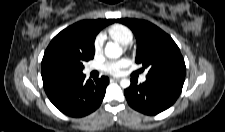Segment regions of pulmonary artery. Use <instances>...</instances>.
<instances>
[{
  "mask_svg": "<svg viewBox=\"0 0 225 132\" xmlns=\"http://www.w3.org/2000/svg\"><path fill=\"white\" fill-rule=\"evenodd\" d=\"M91 70H92V68H87L86 69V72H90ZM145 80H146V76L145 75H143V76L140 77V82L143 83V82H145Z\"/></svg>",
  "mask_w": 225,
  "mask_h": 132,
  "instance_id": "pulmonary-artery-1",
  "label": "pulmonary artery"
}]
</instances>
